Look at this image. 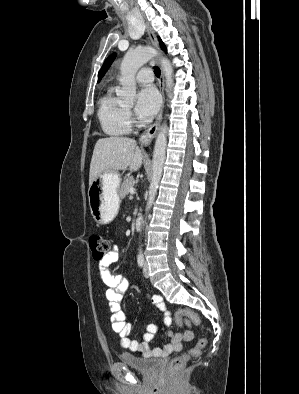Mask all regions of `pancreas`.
Returning <instances> with one entry per match:
<instances>
[{"mask_svg": "<svg viewBox=\"0 0 299 394\" xmlns=\"http://www.w3.org/2000/svg\"><path fill=\"white\" fill-rule=\"evenodd\" d=\"M136 184V181L134 180V178L131 177H127L123 183L121 184V187L119 189V197L120 198H125L129 193H130V189L132 187H134Z\"/></svg>", "mask_w": 299, "mask_h": 394, "instance_id": "1", "label": "pancreas"}]
</instances>
